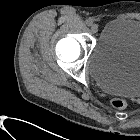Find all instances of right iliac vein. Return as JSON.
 <instances>
[{"mask_svg": "<svg viewBox=\"0 0 140 140\" xmlns=\"http://www.w3.org/2000/svg\"><path fill=\"white\" fill-rule=\"evenodd\" d=\"M99 30V26L97 24H92L91 25V31L93 34L97 33Z\"/></svg>", "mask_w": 140, "mask_h": 140, "instance_id": "right-iliac-vein-1", "label": "right iliac vein"}]
</instances>
